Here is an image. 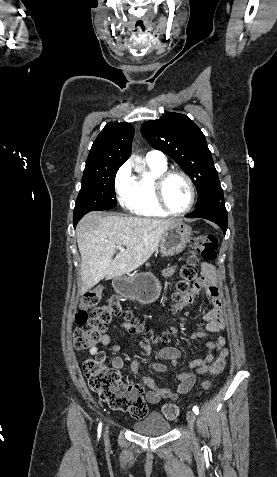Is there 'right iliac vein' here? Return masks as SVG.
<instances>
[{
	"instance_id": "right-iliac-vein-1",
	"label": "right iliac vein",
	"mask_w": 277,
	"mask_h": 477,
	"mask_svg": "<svg viewBox=\"0 0 277 477\" xmlns=\"http://www.w3.org/2000/svg\"><path fill=\"white\" fill-rule=\"evenodd\" d=\"M107 433H108V428H106V436H107Z\"/></svg>"
}]
</instances>
